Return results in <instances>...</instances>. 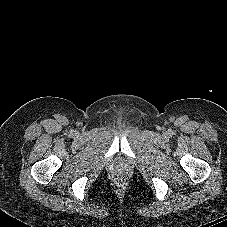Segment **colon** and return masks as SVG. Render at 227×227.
I'll return each mask as SVG.
<instances>
[{"label":"colon","instance_id":"colon-1","mask_svg":"<svg viewBox=\"0 0 227 227\" xmlns=\"http://www.w3.org/2000/svg\"><path fill=\"white\" fill-rule=\"evenodd\" d=\"M114 184L118 189H122L127 184V177L122 173H118L114 176Z\"/></svg>","mask_w":227,"mask_h":227}]
</instances>
